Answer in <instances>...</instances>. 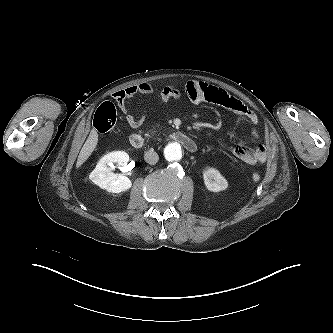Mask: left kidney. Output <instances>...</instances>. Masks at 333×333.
Listing matches in <instances>:
<instances>
[{
  "mask_svg": "<svg viewBox=\"0 0 333 333\" xmlns=\"http://www.w3.org/2000/svg\"><path fill=\"white\" fill-rule=\"evenodd\" d=\"M203 179L206 188L212 192H220L228 187L227 180L215 168L205 169Z\"/></svg>",
  "mask_w": 333,
  "mask_h": 333,
  "instance_id": "obj_1",
  "label": "left kidney"
}]
</instances>
